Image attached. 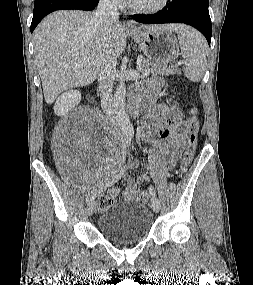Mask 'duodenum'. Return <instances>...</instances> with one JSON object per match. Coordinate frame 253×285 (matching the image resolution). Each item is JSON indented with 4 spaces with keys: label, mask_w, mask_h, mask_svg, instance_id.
I'll use <instances>...</instances> for the list:
<instances>
[{
    "label": "duodenum",
    "mask_w": 253,
    "mask_h": 285,
    "mask_svg": "<svg viewBox=\"0 0 253 285\" xmlns=\"http://www.w3.org/2000/svg\"><path fill=\"white\" fill-rule=\"evenodd\" d=\"M137 107H138V101L135 97L131 98V111L132 113H136L137 112Z\"/></svg>",
    "instance_id": "obj_1"
}]
</instances>
